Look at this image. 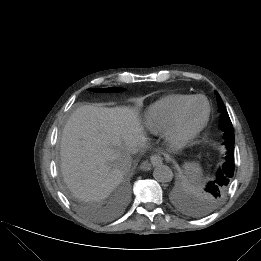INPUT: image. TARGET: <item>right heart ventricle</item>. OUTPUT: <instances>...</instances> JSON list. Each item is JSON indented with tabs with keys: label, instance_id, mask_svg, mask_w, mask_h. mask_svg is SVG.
<instances>
[{
	"label": "right heart ventricle",
	"instance_id": "1",
	"mask_svg": "<svg viewBox=\"0 0 261 261\" xmlns=\"http://www.w3.org/2000/svg\"><path fill=\"white\" fill-rule=\"evenodd\" d=\"M192 95L168 94L152 103L145 112V127L154 135L165 132L178 108Z\"/></svg>",
	"mask_w": 261,
	"mask_h": 261
}]
</instances>
